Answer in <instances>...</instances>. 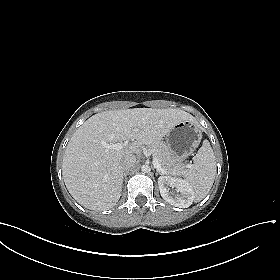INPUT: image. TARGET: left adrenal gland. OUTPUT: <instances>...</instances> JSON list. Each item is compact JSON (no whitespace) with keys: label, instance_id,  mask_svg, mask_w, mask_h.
<instances>
[{"label":"left adrenal gland","instance_id":"left-adrenal-gland-1","mask_svg":"<svg viewBox=\"0 0 280 280\" xmlns=\"http://www.w3.org/2000/svg\"><path fill=\"white\" fill-rule=\"evenodd\" d=\"M158 174H160V175H163V173L162 172H160V171H156V175H158Z\"/></svg>","mask_w":280,"mask_h":280}]
</instances>
